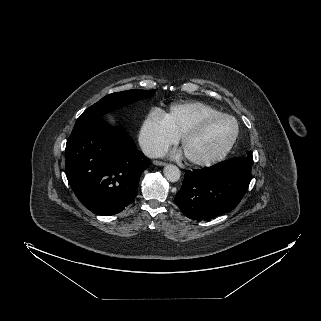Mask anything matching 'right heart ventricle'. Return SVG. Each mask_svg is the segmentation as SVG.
Returning <instances> with one entry per match:
<instances>
[{"label": "right heart ventricle", "mask_w": 321, "mask_h": 321, "mask_svg": "<svg viewBox=\"0 0 321 321\" xmlns=\"http://www.w3.org/2000/svg\"><path fill=\"white\" fill-rule=\"evenodd\" d=\"M219 113L218 109L203 102H185L172 105L162 116L167 129L179 138L184 130L202 118Z\"/></svg>", "instance_id": "e07e8e85"}]
</instances>
